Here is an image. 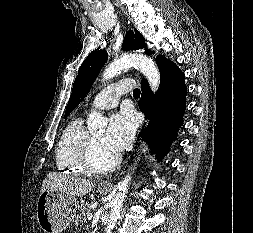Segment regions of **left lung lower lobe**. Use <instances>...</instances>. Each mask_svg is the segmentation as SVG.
Returning <instances> with one entry per match:
<instances>
[{"mask_svg": "<svg viewBox=\"0 0 253 233\" xmlns=\"http://www.w3.org/2000/svg\"><path fill=\"white\" fill-rule=\"evenodd\" d=\"M156 63L160 71V89L153 94L149 84L142 79V96L138 102L140 110L150 119L149 126L141 132L152 152L163 156L176 137V132L183 123L186 108L187 88L184 73L170 60L159 55Z\"/></svg>", "mask_w": 253, "mask_h": 233, "instance_id": "obj_1", "label": "left lung lower lobe"}]
</instances>
